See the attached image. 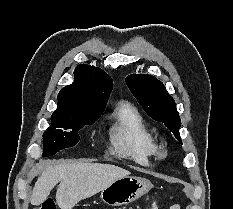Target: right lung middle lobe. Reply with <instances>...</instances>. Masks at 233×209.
<instances>
[{
	"instance_id": "dd1d6c3e",
	"label": "right lung middle lobe",
	"mask_w": 233,
	"mask_h": 209,
	"mask_svg": "<svg viewBox=\"0 0 233 209\" xmlns=\"http://www.w3.org/2000/svg\"><path fill=\"white\" fill-rule=\"evenodd\" d=\"M104 110H73L51 117V127L43 134V156L54 155L57 151L76 145L78 131L86 124H93Z\"/></svg>"
}]
</instances>
